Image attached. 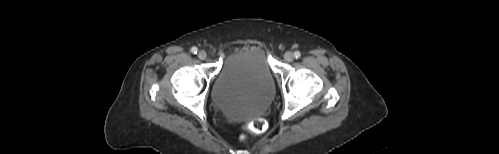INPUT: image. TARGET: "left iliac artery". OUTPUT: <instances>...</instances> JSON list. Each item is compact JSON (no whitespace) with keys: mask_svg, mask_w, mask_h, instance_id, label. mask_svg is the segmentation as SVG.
I'll return each mask as SVG.
<instances>
[{"mask_svg":"<svg viewBox=\"0 0 499 154\" xmlns=\"http://www.w3.org/2000/svg\"><path fill=\"white\" fill-rule=\"evenodd\" d=\"M300 56H301V54H300V52H299V51L294 52V57H295L296 59L300 58Z\"/></svg>","mask_w":499,"mask_h":154,"instance_id":"obj_1","label":"left iliac artery"}]
</instances>
